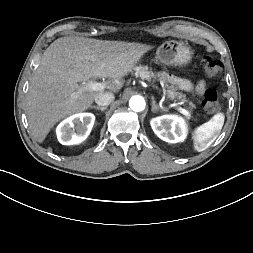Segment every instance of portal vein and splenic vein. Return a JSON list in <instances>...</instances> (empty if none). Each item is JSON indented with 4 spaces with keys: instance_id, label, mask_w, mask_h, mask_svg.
Returning a JSON list of instances; mask_svg holds the SVG:
<instances>
[{
    "instance_id": "1",
    "label": "portal vein and splenic vein",
    "mask_w": 253,
    "mask_h": 253,
    "mask_svg": "<svg viewBox=\"0 0 253 253\" xmlns=\"http://www.w3.org/2000/svg\"><path fill=\"white\" fill-rule=\"evenodd\" d=\"M106 88L105 83H99V82H93L90 81L82 86L79 87L78 92L73 96L74 98L78 96L79 93L84 92V91H101ZM178 111L183 114L186 117H190V114L187 110H185L182 107L178 108Z\"/></svg>"
}]
</instances>
